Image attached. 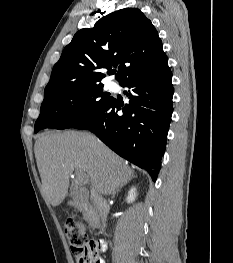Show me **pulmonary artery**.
<instances>
[{"instance_id":"pulmonary-artery-1","label":"pulmonary artery","mask_w":233,"mask_h":263,"mask_svg":"<svg viewBox=\"0 0 233 263\" xmlns=\"http://www.w3.org/2000/svg\"><path fill=\"white\" fill-rule=\"evenodd\" d=\"M108 86H109L110 88H112V87H113V84H112V83H108Z\"/></svg>"}]
</instances>
